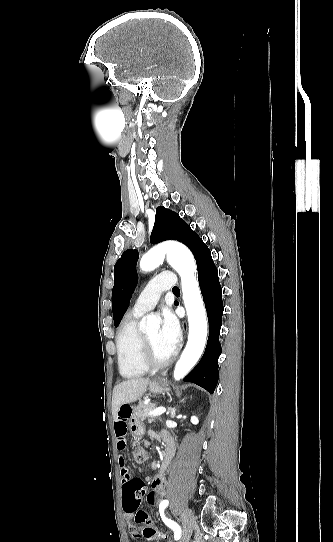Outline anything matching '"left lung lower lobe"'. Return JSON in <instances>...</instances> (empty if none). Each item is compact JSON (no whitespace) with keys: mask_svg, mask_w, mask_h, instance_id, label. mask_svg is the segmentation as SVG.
<instances>
[{"mask_svg":"<svg viewBox=\"0 0 333 542\" xmlns=\"http://www.w3.org/2000/svg\"><path fill=\"white\" fill-rule=\"evenodd\" d=\"M195 259L199 285L209 321V337L204 355L196 367L184 378V381L193 382L206 389L209 393H213L219 376L218 358L222 352L219 342L224 310L222 288L211 252L205 243L199 248ZM175 305H178V302H175Z\"/></svg>","mask_w":333,"mask_h":542,"instance_id":"obj_1","label":"left lung lower lobe"}]
</instances>
